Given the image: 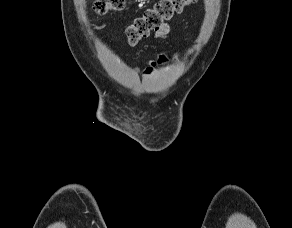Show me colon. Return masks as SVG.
I'll list each match as a JSON object with an SVG mask.
<instances>
[{
	"label": "colon",
	"instance_id": "1",
	"mask_svg": "<svg viewBox=\"0 0 292 228\" xmlns=\"http://www.w3.org/2000/svg\"><path fill=\"white\" fill-rule=\"evenodd\" d=\"M195 0H160L154 7L145 11V13L136 18L130 24L125 34L130 44L134 45L141 39L146 38L151 32L158 31L163 24L171 19L175 14L181 13L185 7L193 3ZM125 0H96L94 10L99 14H104L107 11H121L125 7ZM165 55H160L158 63L167 61ZM156 62H152L154 65ZM147 68V72L150 71Z\"/></svg>",
	"mask_w": 292,
	"mask_h": 228
}]
</instances>
